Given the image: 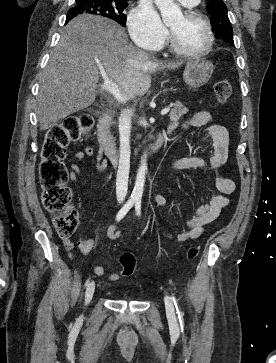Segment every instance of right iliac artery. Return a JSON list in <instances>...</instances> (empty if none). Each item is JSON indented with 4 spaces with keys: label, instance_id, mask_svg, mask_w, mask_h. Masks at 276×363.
<instances>
[{
    "label": "right iliac artery",
    "instance_id": "right-iliac-artery-1",
    "mask_svg": "<svg viewBox=\"0 0 276 363\" xmlns=\"http://www.w3.org/2000/svg\"><path fill=\"white\" fill-rule=\"evenodd\" d=\"M134 203H135L134 200L132 199L128 200L126 204L118 212L116 216V221H120L127 214V212L133 207ZM89 281L90 278L86 281L85 286H88Z\"/></svg>",
    "mask_w": 276,
    "mask_h": 363
}]
</instances>
